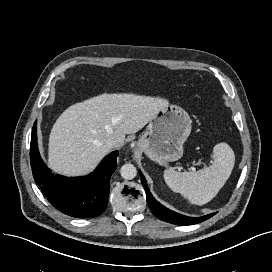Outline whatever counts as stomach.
Here are the masks:
<instances>
[{
    "label": "stomach",
    "mask_w": 272,
    "mask_h": 272,
    "mask_svg": "<svg viewBox=\"0 0 272 272\" xmlns=\"http://www.w3.org/2000/svg\"><path fill=\"white\" fill-rule=\"evenodd\" d=\"M191 129L189 114L177 105H168L152 117L138 141V150L160 165L176 161L183 155Z\"/></svg>",
    "instance_id": "0dacf381"
}]
</instances>
